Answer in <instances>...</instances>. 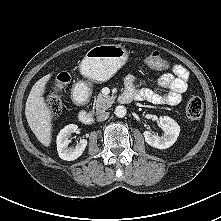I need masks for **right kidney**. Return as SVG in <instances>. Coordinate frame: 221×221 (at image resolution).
Listing matches in <instances>:
<instances>
[{
    "instance_id": "obj_1",
    "label": "right kidney",
    "mask_w": 221,
    "mask_h": 221,
    "mask_svg": "<svg viewBox=\"0 0 221 221\" xmlns=\"http://www.w3.org/2000/svg\"><path fill=\"white\" fill-rule=\"evenodd\" d=\"M78 129V126L75 124H69L65 126L62 130H60L58 136H57V151L59 154V157L62 160H67V161H73L79 158L86 146H87V140L86 139H81L79 143L76 145L75 148L68 147L70 143V136L72 133L76 132Z\"/></svg>"
}]
</instances>
